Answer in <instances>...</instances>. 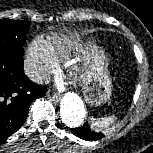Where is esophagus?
I'll list each match as a JSON object with an SVG mask.
<instances>
[{
    "label": "esophagus",
    "instance_id": "34e87169",
    "mask_svg": "<svg viewBox=\"0 0 153 153\" xmlns=\"http://www.w3.org/2000/svg\"><path fill=\"white\" fill-rule=\"evenodd\" d=\"M46 94H47V97L50 100H52L54 102H59V100H60V95L59 94H56V93L51 92V91H48Z\"/></svg>",
    "mask_w": 153,
    "mask_h": 153
}]
</instances>
